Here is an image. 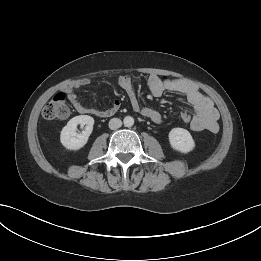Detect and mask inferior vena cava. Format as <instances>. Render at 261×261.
<instances>
[{"instance_id":"obj_1","label":"inferior vena cava","mask_w":261,"mask_h":261,"mask_svg":"<svg viewBox=\"0 0 261 261\" xmlns=\"http://www.w3.org/2000/svg\"><path fill=\"white\" fill-rule=\"evenodd\" d=\"M121 126H122V121L118 118H112L109 121V128L111 130H116V129L120 128Z\"/></svg>"}]
</instances>
